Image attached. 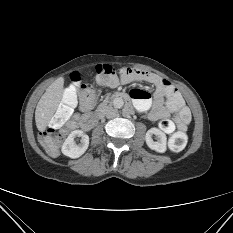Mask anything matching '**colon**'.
<instances>
[{
    "label": "colon",
    "instance_id": "1",
    "mask_svg": "<svg viewBox=\"0 0 233 233\" xmlns=\"http://www.w3.org/2000/svg\"><path fill=\"white\" fill-rule=\"evenodd\" d=\"M124 72L123 69H116L109 64H99L96 66V81L101 85L115 86ZM71 81L72 85L66 90L62 104L58 107L48 128L40 135L42 145L52 155H56L59 151L65 133L64 126L71 117L77 98H90L94 95L93 87L88 83H82L78 72L71 74ZM165 84L170 85L168 81ZM187 141L184 132H177L169 139L168 146L172 151L179 152L185 148Z\"/></svg>",
    "mask_w": 233,
    "mask_h": 233
}]
</instances>
